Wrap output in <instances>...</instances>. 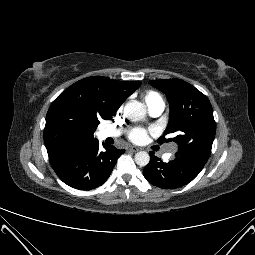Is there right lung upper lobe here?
<instances>
[{
    "label": "right lung upper lobe",
    "instance_id": "obj_1",
    "mask_svg": "<svg viewBox=\"0 0 255 255\" xmlns=\"http://www.w3.org/2000/svg\"><path fill=\"white\" fill-rule=\"evenodd\" d=\"M140 84L93 76L64 90L52 102L46 116L44 142L48 156L96 141L93 133L99 121L111 119Z\"/></svg>",
    "mask_w": 255,
    "mask_h": 255
}]
</instances>
